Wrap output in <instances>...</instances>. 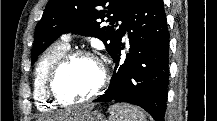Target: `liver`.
<instances>
[{
	"instance_id": "liver-1",
	"label": "liver",
	"mask_w": 217,
	"mask_h": 121,
	"mask_svg": "<svg viewBox=\"0 0 217 121\" xmlns=\"http://www.w3.org/2000/svg\"><path fill=\"white\" fill-rule=\"evenodd\" d=\"M71 116H70V112H66L64 114H60L57 119H59V121H67L68 119L70 120Z\"/></svg>"
}]
</instances>
